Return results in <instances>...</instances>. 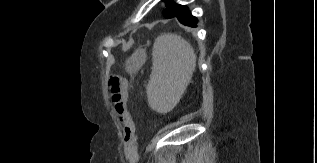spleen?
<instances>
[{"label":"spleen","mask_w":317,"mask_h":163,"mask_svg":"<svg viewBox=\"0 0 317 163\" xmlns=\"http://www.w3.org/2000/svg\"><path fill=\"white\" fill-rule=\"evenodd\" d=\"M152 73L146 93L148 102L159 113H168L179 102L196 67L191 44L176 34L156 38L152 51Z\"/></svg>","instance_id":"3e777b00"}]
</instances>
